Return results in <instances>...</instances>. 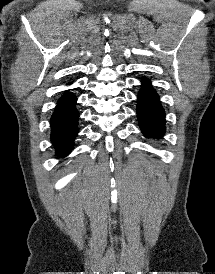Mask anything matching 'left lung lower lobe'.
<instances>
[{
    "mask_svg": "<svg viewBox=\"0 0 215 274\" xmlns=\"http://www.w3.org/2000/svg\"><path fill=\"white\" fill-rule=\"evenodd\" d=\"M137 116L139 126L146 137L160 138L164 134V109L147 78L142 79V88L138 93Z\"/></svg>",
    "mask_w": 215,
    "mask_h": 274,
    "instance_id": "left-lung-lower-lobe-1",
    "label": "left lung lower lobe"
}]
</instances>
